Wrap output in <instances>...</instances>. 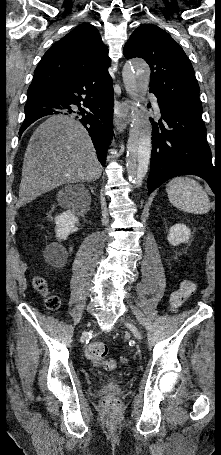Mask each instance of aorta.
Returning a JSON list of instances; mask_svg holds the SVG:
<instances>
[{
  "label": "aorta",
  "instance_id": "obj_1",
  "mask_svg": "<svg viewBox=\"0 0 221 455\" xmlns=\"http://www.w3.org/2000/svg\"><path fill=\"white\" fill-rule=\"evenodd\" d=\"M122 77L126 91L133 99L127 143V173L131 181L140 186L151 157V130L148 119L136 110V104H139L148 90L149 66L141 59L128 60L123 67Z\"/></svg>",
  "mask_w": 221,
  "mask_h": 455
}]
</instances>
